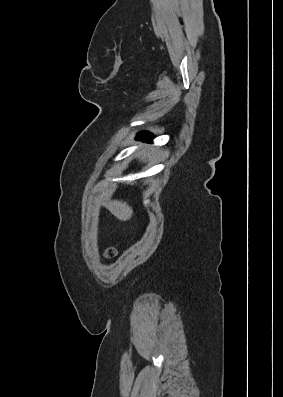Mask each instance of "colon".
Masks as SVG:
<instances>
[{"mask_svg": "<svg viewBox=\"0 0 283 397\" xmlns=\"http://www.w3.org/2000/svg\"><path fill=\"white\" fill-rule=\"evenodd\" d=\"M116 255V249L114 247H110L106 250L107 257H113Z\"/></svg>", "mask_w": 283, "mask_h": 397, "instance_id": "5ec220e1", "label": "colon"}]
</instances>
